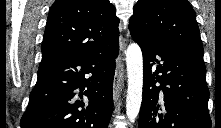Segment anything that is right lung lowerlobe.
<instances>
[{
	"instance_id": "1",
	"label": "right lung lower lobe",
	"mask_w": 221,
	"mask_h": 128,
	"mask_svg": "<svg viewBox=\"0 0 221 128\" xmlns=\"http://www.w3.org/2000/svg\"><path fill=\"white\" fill-rule=\"evenodd\" d=\"M118 52L116 41L39 67L21 128H107Z\"/></svg>"
}]
</instances>
